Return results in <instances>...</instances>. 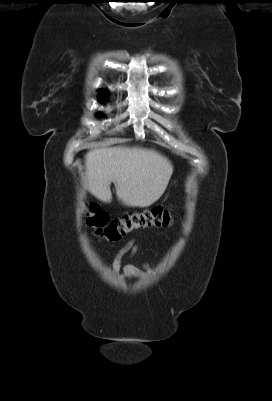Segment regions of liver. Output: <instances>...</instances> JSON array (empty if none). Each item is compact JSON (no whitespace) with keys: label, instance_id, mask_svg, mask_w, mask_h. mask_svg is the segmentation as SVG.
<instances>
[{"label":"liver","instance_id":"liver-1","mask_svg":"<svg viewBox=\"0 0 272 401\" xmlns=\"http://www.w3.org/2000/svg\"><path fill=\"white\" fill-rule=\"evenodd\" d=\"M86 186L103 202H111V182L119 200L128 206L148 207L165 192L173 173L171 162L153 149L103 147L85 156Z\"/></svg>","mask_w":272,"mask_h":401}]
</instances>
